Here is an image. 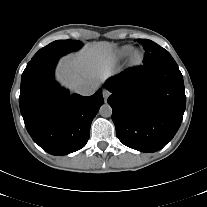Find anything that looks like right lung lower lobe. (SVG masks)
Listing matches in <instances>:
<instances>
[{"mask_svg":"<svg viewBox=\"0 0 207 207\" xmlns=\"http://www.w3.org/2000/svg\"><path fill=\"white\" fill-rule=\"evenodd\" d=\"M64 54L31 60L21 78L19 104L28 133L52 155L62 156L82 149L90 126L104 99L102 89L84 97L70 94L54 80V68Z\"/></svg>","mask_w":207,"mask_h":207,"instance_id":"1","label":"right lung lower lobe"}]
</instances>
